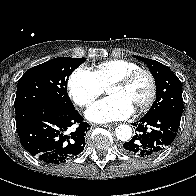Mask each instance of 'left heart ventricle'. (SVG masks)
I'll return each mask as SVG.
<instances>
[{
    "instance_id": "b2bd125f",
    "label": "left heart ventricle",
    "mask_w": 196,
    "mask_h": 196,
    "mask_svg": "<svg viewBox=\"0 0 196 196\" xmlns=\"http://www.w3.org/2000/svg\"><path fill=\"white\" fill-rule=\"evenodd\" d=\"M109 96H119L128 101L134 109L148 98L150 83L146 76H140L126 87L113 86L107 91Z\"/></svg>"
}]
</instances>
